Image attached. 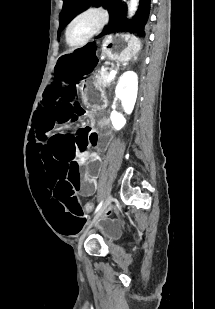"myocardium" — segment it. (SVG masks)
I'll return each instance as SVG.
<instances>
[{
  "label": "myocardium",
  "mask_w": 215,
  "mask_h": 309,
  "mask_svg": "<svg viewBox=\"0 0 215 309\" xmlns=\"http://www.w3.org/2000/svg\"><path fill=\"white\" fill-rule=\"evenodd\" d=\"M105 15L98 10H88L77 15L65 30L66 44L72 48L84 46L90 38L98 33L103 24H108Z\"/></svg>",
  "instance_id": "f54148a6"
}]
</instances>
